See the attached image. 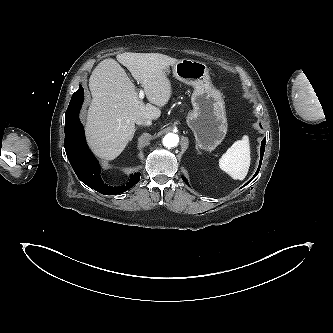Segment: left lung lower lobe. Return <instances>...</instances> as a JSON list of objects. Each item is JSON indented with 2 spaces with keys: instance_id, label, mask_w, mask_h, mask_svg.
<instances>
[{
  "instance_id": "left-lung-lower-lobe-1",
  "label": "left lung lower lobe",
  "mask_w": 333,
  "mask_h": 333,
  "mask_svg": "<svg viewBox=\"0 0 333 333\" xmlns=\"http://www.w3.org/2000/svg\"><path fill=\"white\" fill-rule=\"evenodd\" d=\"M265 140H266V139H263L262 144H261V152H260V153H261V158H260V164H259L258 170H257V172L255 173V175L253 176V178L258 174L259 169H260V166H261V162H262V158H263V154H264V149H265ZM182 178H183V181H184L186 184H188L186 178H185V177H182ZM253 178H252V179H253ZM252 179H251V180H252ZM251 180H250V181H251ZM250 181H249V182H250ZM249 182H248V183H249ZM248 183H247V184H248Z\"/></svg>"
}]
</instances>
